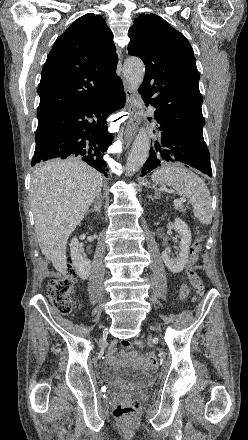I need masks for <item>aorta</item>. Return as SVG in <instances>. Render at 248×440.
<instances>
[{"label":"aorta","mask_w":248,"mask_h":440,"mask_svg":"<svg viewBox=\"0 0 248 440\" xmlns=\"http://www.w3.org/2000/svg\"><path fill=\"white\" fill-rule=\"evenodd\" d=\"M123 74L132 90H138L142 84L145 65L138 58H129L123 66ZM150 150V139L145 131L141 129L137 134L126 162V175L131 176L139 170L148 158Z\"/></svg>","instance_id":"aorta-1"}]
</instances>
